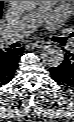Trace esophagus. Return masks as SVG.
Masks as SVG:
<instances>
[{
	"label": "esophagus",
	"mask_w": 74,
	"mask_h": 122,
	"mask_svg": "<svg viewBox=\"0 0 74 122\" xmlns=\"http://www.w3.org/2000/svg\"><path fill=\"white\" fill-rule=\"evenodd\" d=\"M45 42L44 41H37L31 44L32 47L34 48H43L45 46Z\"/></svg>",
	"instance_id": "34e87169"
}]
</instances>
